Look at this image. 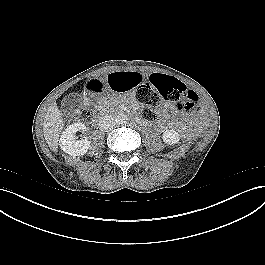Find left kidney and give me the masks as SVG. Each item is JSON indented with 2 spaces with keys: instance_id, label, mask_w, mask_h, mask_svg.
Instances as JSON below:
<instances>
[{
  "instance_id": "obj_1",
  "label": "left kidney",
  "mask_w": 265,
  "mask_h": 265,
  "mask_svg": "<svg viewBox=\"0 0 265 265\" xmlns=\"http://www.w3.org/2000/svg\"><path fill=\"white\" fill-rule=\"evenodd\" d=\"M162 139L166 144L172 145V144L178 143L180 140V137L176 131L166 130L162 135Z\"/></svg>"
}]
</instances>
